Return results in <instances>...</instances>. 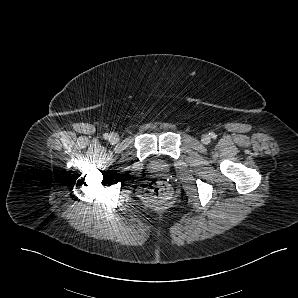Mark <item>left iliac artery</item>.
Segmentation results:
<instances>
[{
    "mask_svg": "<svg viewBox=\"0 0 298 298\" xmlns=\"http://www.w3.org/2000/svg\"><path fill=\"white\" fill-rule=\"evenodd\" d=\"M211 137L214 138L215 137V134L214 133H210Z\"/></svg>",
    "mask_w": 298,
    "mask_h": 298,
    "instance_id": "left-iliac-artery-1",
    "label": "left iliac artery"
}]
</instances>
